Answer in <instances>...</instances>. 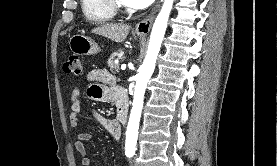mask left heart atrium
Returning <instances> with one entry per match:
<instances>
[{"label":"left heart atrium","instance_id":"39dd6f15","mask_svg":"<svg viewBox=\"0 0 277 166\" xmlns=\"http://www.w3.org/2000/svg\"><path fill=\"white\" fill-rule=\"evenodd\" d=\"M125 5L135 8V9H143L148 7L153 3L154 0H122Z\"/></svg>","mask_w":277,"mask_h":166}]
</instances>
